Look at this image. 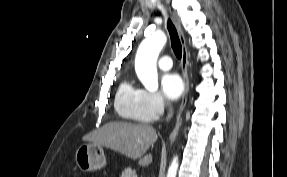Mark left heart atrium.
Listing matches in <instances>:
<instances>
[{
  "mask_svg": "<svg viewBox=\"0 0 287 177\" xmlns=\"http://www.w3.org/2000/svg\"><path fill=\"white\" fill-rule=\"evenodd\" d=\"M161 89L165 98L176 100L184 92V81L176 73H166L161 79Z\"/></svg>",
  "mask_w": 287,
  "mask_h": 177,
  "instance_id": "1",
  "label": "left heart atrium"
}]
</instances>
